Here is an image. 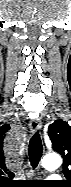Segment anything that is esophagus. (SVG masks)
I'll return each mask as SVG.
<instances>
[{
    "label": "esophagus",
    "instance_id": "obj_1",
    "mask_svg": "<svg viewBox=\"0 0 71 187\" xmlns=\"http://www.w3.org/2000/svg\"><path fill=\"white\" fill-rule=\"evenodd\" d=\"M31 132L35 133L37 130H40L42 127L41 120L39 118L32 119L29 124Z\"/></svg>",
    "mask_w": 71,
    "mask_h": 187
}]
</instances>
